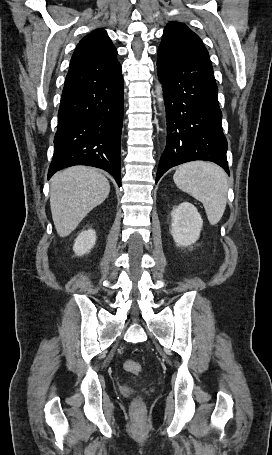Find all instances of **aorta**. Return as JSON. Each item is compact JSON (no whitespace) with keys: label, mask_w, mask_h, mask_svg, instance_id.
I'll return each mask as SVG.
<instances>
[{"label":"aorta","mask_w":272,"mask_h":455,"mask_svg":"<svg viewBox=\"0 0 272 455\" xmlns=\"http://www.w3.org/2000/svg\"><path fill=\"white\" fill-rule=\"evenodd\" d=\"M156 93L158 96L157 101L161 105L163 103V90H162V85L160 84L159 81L157 82V85H156Z\"/></svg>","instance_id":"1"}]
</instances>
